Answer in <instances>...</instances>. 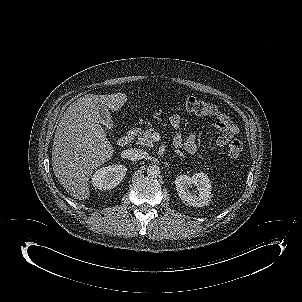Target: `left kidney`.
Listing matches in <instances>:
<instances>
[{"label":"left kidney","instance_id":"1","mask_svg":"<svg viewBox=\"0 0 302 302\" xmlns=\"http://www.w3.org/2000/svg\"><path fill=\"white\" fill-rule=\"evenodd\" d=\"M175 185L178 196L186 205L203 207L207 206L211 200V183L203 172L196 173L192 177L177 176Z\"/></svg>","mask_w":302,"mask_h":302}]
</instances>
